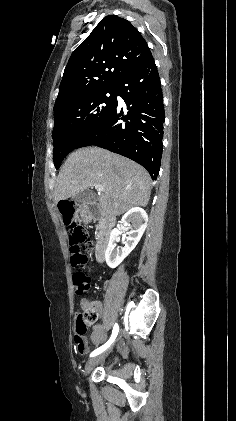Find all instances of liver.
Returning <instances> with one entry per match:
<instances>
[{
  "label": "liver",
  "instance_id": "6515ba94",
  "mask_svg": "<svg viewBox=\"0 0 236 421\" xmlns=\"http://www.w3.org/2000/svg\"><path fill=\"white\" fill-rule=\"evenodd\" d=\"M93 184H102L99 206L103 215H123L133 206H146L151 176L143 166L104 148L89 146L69 154L56 180L54 200L74 196Z\"/></svg>",
  "mask_w": 236,
  "mask_h": 421
}]
</instances>
